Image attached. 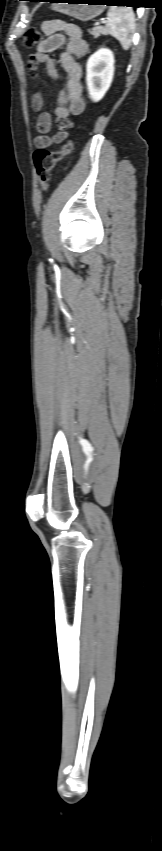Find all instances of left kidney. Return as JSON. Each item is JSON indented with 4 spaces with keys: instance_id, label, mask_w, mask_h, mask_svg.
<instances>
[{
    "instance_id": "5707ae66",
    "label": "left kidney",
    "mask_w": 162,
    "mask_h": 851,
    "mask_svg": "<svg viewBox=\"0 0 162 851\" xmlns=\"http://www.w3.org/2000/svg\"><path fill=\"white\" fill-rule=\"evenodd\" d=\"M114 55L101 48L91 55L86 65V83L90 98L100 101L108 91L114 76Z\"/></svg>"
}]
</instances>
